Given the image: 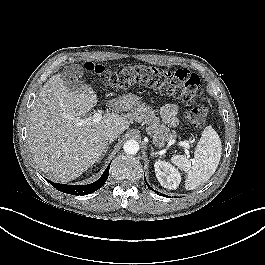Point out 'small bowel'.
Here are the masks:
<instances>
[{
    "label": "small bowel",
    "instance_id": "c3829d8e",
    "mask_svg": "<svg viewBox=\"0 0 265 265\" xmlns=\"http://www.w3.org/2000/svg\"><path fill=\"white\" fill-rule=\"evenodd\" d=\"M161 115L166 125L172 127L177 124V107L175 104L168 103L164 105L161 111Z\"/></svg>",
    "mask_w": 265,
    "mask_h": 265
}]
</instances>
